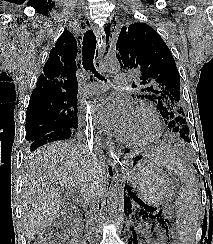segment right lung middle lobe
I'll return each mask as SVG.
<instances>
[{
	"label": "right lung middle lobe",
	"mask_w": 213,
	"mask_h": 244,
	"mask_svg": "<svg viewBox=\"0 0 213 244\" xmlns=\"http://www.w3.org/2000/svg\"><path fill=\"white\" fill-rule=\"evenodd\" d=\"M76 96H42L30 98L26 116V140L31 143L61 129H76Z\"/></svg>",
	"instance_id": "dd1d6c3e"
}]
</instances>
